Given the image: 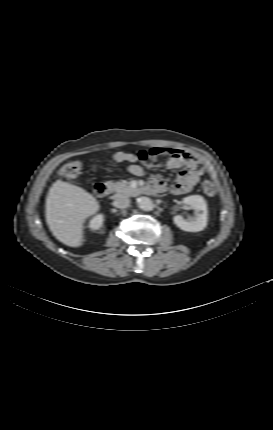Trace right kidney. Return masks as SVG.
I'll return each mask as SVG.
<instances>
[{"instance_id":"obj_1","label":"right kidney","mask_w":273,"mask_h":430,"mask_svg":"<svg viewBox=\"0 0 273 430\" xmlns=\"http://www.w3.org/2000/svg\"><path fill=\"white\" fill-rule=\"evenodd\" d=\"M104 221V215L98 214L91 221L89 227L92 230H98L102 227Z\"/></svg>"}]
</instances>
